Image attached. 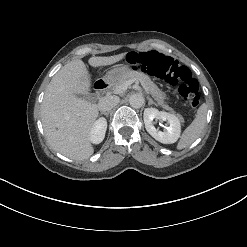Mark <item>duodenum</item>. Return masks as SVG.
I'll use <instances>...</instances> for the list:
<instances>
[{
    "label": "duodenum",
    "mask_w": 247,
    "mask_h": 247,
    "mask_svg": "<svg viewBox=\"0 0 247 247\" xmlns=\"http://www.w3.org/2000/svg\"><path fill=\"white\" fill-rule=\"evenodd\" d=\"M94 91L98 95H102L106 92L107 90V84L103 80H97L93 84Z\"/></svg>",
    "instance_id": "duodenum-1"
}]
</instances>
